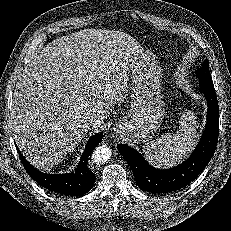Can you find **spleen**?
I'll use <instances>...</instances> for the list:
<instances>
[{
	"label": "spleen",
	"mask_w": 231,
	"mask_h": 231,
	"mask_svg": "<svg viewBox=\"0 0 231 231\" xmlns=\"http://www.w3.org/2000/svg\"><path fill=\"white\" fill-rule=\"evenodd\" d=\"M179 130L173 135L165 133L143 147L147 160L157 167L175 165L188 155L196 138V120L192 111L181 115Z\"/></svg>",
	"instance_id": "obj_1"
}]
</instances>
